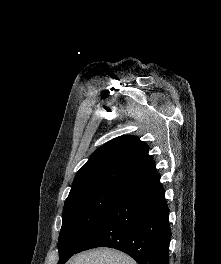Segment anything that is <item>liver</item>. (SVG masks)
I'll use <instances>...</instances> for the list:
<instances>
[{"label":"liver","mask_w":221,"mask_h":264,"mask_svg":"<svg viewBox=\"0 0 221 264\" xmlns=\"http://www.w3.org/2000/svg\"><path fill=\"white\" fill-rule=\"evenodd\" d=\"M67 264H137L131 257L120 251L100 248L73 257Z\"/></svg>","instance_id":"obj_1"}]
</instances>
